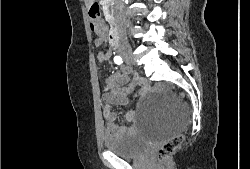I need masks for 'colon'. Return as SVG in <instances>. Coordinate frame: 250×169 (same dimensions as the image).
I'll use <instances>...</instances> for the list:
<instances>
[{"label": "colon", "instance_id": "5ec220e1", "mask_svg": "<svg viewBox=\"0 0 250 169\" xmlns=\"http://www.w3.org/2000/svg\"><path fill=\"white\" fill-rule=\"evenodd\" d=\"M91 30L95 33H100L103 30L100 9L97 6H92L88 12ZM179 97H185L186 100L187 93L179 92ZM185 139V134H174L171 138H166L159 145V150H156V160H160V166L163 169H173V164H170L169 157L173 155L174 150H180V146H183Z\"/></svg>", "mask_w": 250, "mask_h": 169}]
</instances>
